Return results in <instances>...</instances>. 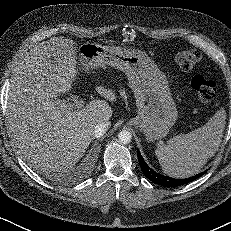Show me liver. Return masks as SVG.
Returning a JSON list of instances; mask_svg holds the SVG:
<instances>
[{
	"mask_svg": "<svg viewBox=\"0 0 231 231\" xmlns=\"http://www.w3.org/2000/svg\"><path fill=\"white\" fill-rule=\"evenodd\" d=\"M75 44L64 37L39 43L10 80L7 115L13 140L27 163L44 171L74 166L93 141L95 126L109 122L112 109L107 101H116L111 89L98 86L105 100H93L80 110L60 107L58 96L70 92L80 74Z\"/></svg>",
	"mask_w": 231,
	"mask_h": 231,
	"instance_id": "1",
	"label": "liver"
}]
</instances>
